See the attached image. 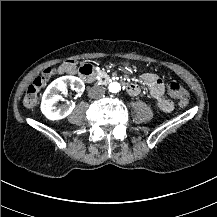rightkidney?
Segmentation results:
<instances>
[{"label":"right kidney","mask_w":217,"mask_h":217,"mask_svg":"<svg viewBox=\"0 0 217 217\" xmlns=\"http://www.w3.org/2000/svg\"><path fill=\"white\" fill-rule=\"evenodd\" d=\"M67 86H71L78 94L85 90L84 82L75 76H63L54 80L45 90L41 102V111L49 120L65 118L75 108L74 102L57 106V102L63 99L59 93L65 92Z\"/></svg>","instance_id":"right-kidney-1"}]
</instances>
